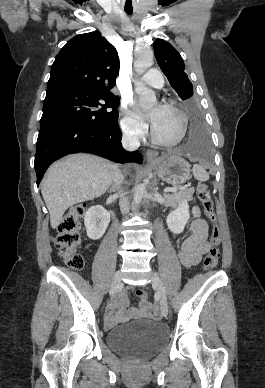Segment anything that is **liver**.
Wrapping results in <instances>:
<instances>
[{"instance_id":"liver-1","label":"liver","mask_w":265,"mask_h":388,"mask_svg":"<svg viewBox=\"0 0 265 388\" xmlns=\"http://www.w3.org/2000/svg\"><path fill=\"white\" fill-rule=\"evenodd\" d=\"M117 164L90 154H71L48 168L41 192L49 210L51 228L61 224L70 206L94 200L110 188Z\"/></svg>"}]
</instances>
